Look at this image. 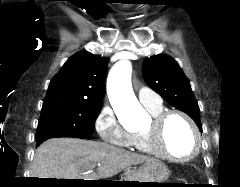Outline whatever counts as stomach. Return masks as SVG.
Wrapping results in <instances>:
<instances>
[{
	"instance_id": "1",
	"label": "stomach",
	"mask_w": 240,
	"mask_h": 187,
	"mask_svg": "<svg viewBox=\"0 0 240 187\" xmlns=\"http://www.w3.org/2000/svg\"><path fill=\"white\" fill-rule=\"evenodd\" d=\"M169 176L167 166L159 160H151L145 162L138 171L127 173L126 181L130 182H156V183H141L144 186H157L158 183H163Z\"/></svg>"
}]
</instances>
